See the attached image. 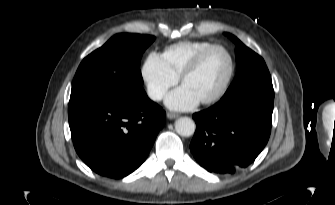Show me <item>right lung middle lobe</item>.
Instances as JSON below:
<instances>
[{"instance_id":"dd1d6c3e","label":"right lung middle lobe","mask_w":335,"mask_h":205,"mask_svg":"<svg viewBox=\"0 0 335 205\" xmlns=\"http://www.w3.org/2000/svg\"><path fill=\"white\" fill-rule=\"evenodd\" d=\"M154 39L150 35H114L79 65L70 101L95 95L131 96L143 92L140 59Z\"/></svg>"}]
</instances>
